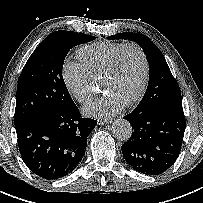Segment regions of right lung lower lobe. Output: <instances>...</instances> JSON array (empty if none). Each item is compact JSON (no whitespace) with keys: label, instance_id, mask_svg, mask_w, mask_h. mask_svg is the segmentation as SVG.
<instances>
[{"label":"right lung lower lobe","instance_id":"obj_1","mask_svg":"<svg viewBox=\"0 0 203 203\" xmlns=\"http://www.w3.org/2000/svg\"><path fill=\"white\" fill-rule=\"evenodd\" d=\"M95 126L75 103L28 118L15 125L22 159L41 178L64 177L80 163Z\"/></svg>","mask_w":203,"mask_h":203}]
</instances>
